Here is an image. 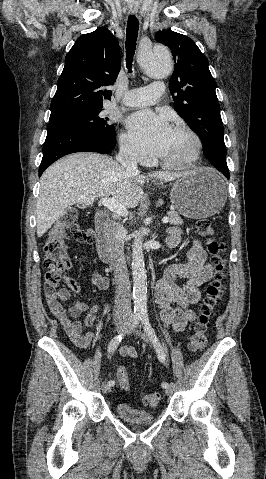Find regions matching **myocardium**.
Listing matches in <instances>:
<instances>
[{
  "instance_id": "f54148a6",
  "label": "myocardium",
  "mask_w": 266,
  "mask_h": 479,
  "mask_svg": "<svg viewBox=\"0 0 266 479\" xmlns=\"http://www.w3.org/2000/svg\"><path fill=\"white\" fill-rule=\"evenodd\" d=\"M177 132L187 134L191 141L192 147L190 152L183 158L177 160H164L159 159L158 162L161 166L170 169H183L192 166L200 157L202 152V141L199 135L186 125H178L174 128Z\"/></svg>"
}]
</instances>
